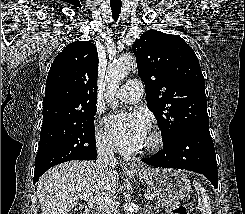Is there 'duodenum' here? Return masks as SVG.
Listing matches in <instances>:
<instances>
[{"label": "duodenum", "instance_id": "obj_1", "mask_svg": "<svg viewBox=\"0 0 245 214\" xmlns=\"http://www.w3.org/2000/svg\"><path fill=\"white\" fill-rule=\"evenodd\" d=\"M97 207L96 206H90L86 209V213L85 214H97Z\"/></svg>", "mask_w": 245, "mask_h": 214}]
</instances>
